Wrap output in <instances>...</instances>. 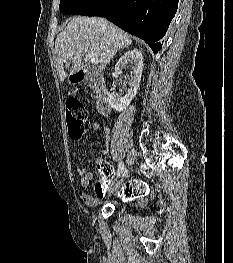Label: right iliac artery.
<instances>
[{
  "label": "right iliac artery",
  "instance_id": "1",
  "mask_svg": "<svg viewBox=\"0 0 233 263\" xmlns=\"http://www.w3.org/2000/svg\"><path fill=\"white\" fill-rule=\"evenodd\" d=\"M124 170V163L121 161L118 166V177L122 174Z\"/></svg>",
  "mask_w": 233,
  "mask_h": 263
}]
</instances>
